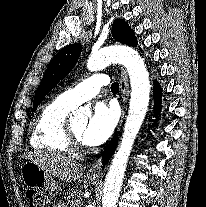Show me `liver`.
<instances>
[{
	"instance_id": "obj_1",
	"label": "liver",
	"mask_w": 206,
	"mask_h": 207,
	"mask_svg": "<svg viewBox=\"0 0 206 207\" xmlns=\"http://www.w3.org/2000/svg\"><path fill=\"white\" fill-rule=\"evenodd\" d=\"M27 156L30 161L65 182L75 181L83 174L81 164L58 153L38 151Z\"/></svg>"
}]
</instances>
